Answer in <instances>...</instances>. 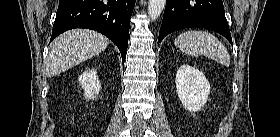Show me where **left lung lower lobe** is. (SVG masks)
<instances>
[{
  "label": "left lung lower lobe",
  "mask_w": 280,
  "mask_h": 137,
  "mask_svg": "<svg viewBox=\"0 0 280 137\" xmlns=\"http://www.w3.org/2000/svg\"><path fill=\"white\" fill-rule=\"evenodd\" d=\"M183 28H205L232 38L222 0H167L158 42Z\"/></svg>",
  "instance_id": "0a47b994"
}]
</instances>
